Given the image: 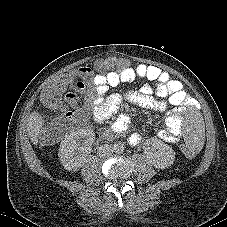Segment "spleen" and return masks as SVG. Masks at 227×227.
<instances>
[{
	"mask_svg": "<svg viewBox=\"0 0 227 227\" xmlns=\"http://www.w3.org/2000/svg\"><path fill=\"white\" fill-rule=\"evenodd\" d=\"M185 145L192 152L201 151L206 145L203 110L196 103L187 104L182 110Z\"/></svg>",
	"mask_w": 227,
	"mask_h": 227,
	"instance_id": "obj_1",
	"label": "spleen"
}]
</instances>
